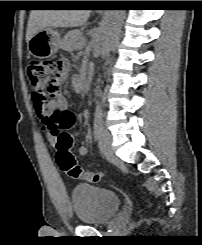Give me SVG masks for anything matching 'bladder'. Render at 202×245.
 I'll list each match as a JSON object with an SVG mask.
<instances>
[{"instance_id":"obj_1","label":"bladder","mask_w":202,"mask_h":245,"mask_svg":"<svg viewBox=\"0 0 202 245\" xmlns=\"http://www.w3.org/2000/svg\"><path fill=\"white\" fill-rule=\"evenodd\" d=\"M77 219L88 225H102L121 207L118 194L90 184L77 185L71 193Z\"/></svg>"}]
</instances>
